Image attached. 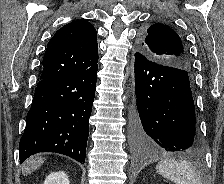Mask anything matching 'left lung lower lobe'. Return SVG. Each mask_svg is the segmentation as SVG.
<instances>
[{"label":"left lung lower lobe","mask_w":224,"mask_h":184,"mask_svg":"<svg viewBox=\"0 0 224 184\" xmlns=\"http://www.w3.org/2000/svg\"><path fill=\"white\" fill-rule=\"evenodd\" d=\"M135 88L133 139L141 153L201 152L187 70L158 64L135 53Z\"/></svg>","instance_id":"0a47b994"}]
</instances>
